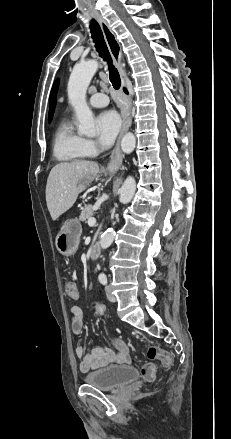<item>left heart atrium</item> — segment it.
I'll use <instances>...</instances> for the list:
<instances>
[{
	"label": "left heart atrium",
	"mask_w": 231,
	"mask_h": 439,
	"mask_svg": "<svg viewBox=\"0 0 231 439\" xmlns=\"http://www.w3.org/2000/svg\"><path fill=\"white\" fill-rule=\"evenodd\" d=\"M96 126L100 145L109 148L119 133L121 120L115 111H104L97 117Z\"/></svg>",
	"instance_id": "1"
}]
</instances>
